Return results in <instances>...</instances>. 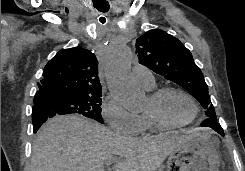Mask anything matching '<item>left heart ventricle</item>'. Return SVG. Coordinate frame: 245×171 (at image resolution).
Segmentation results:
<instances>
[{
    "label": "left heart ventricle",
    "mask_w": 245,
    "mask_h": 171,
    "mask_svg": "<svg viewBox=\"0 0 245 171\" xmlns=\"http://www.w3.org/2000/svg\"><path fill=\"white\" fill-rule=\"evenodd\" d=\"M150 107L148 99L145 110ZM161 115L169 122L183 123L188 121L194 114V107L190 100L178 92H168L159 104Z\"/></svg>",
    "instance_id": "1"
}]
</instances>
